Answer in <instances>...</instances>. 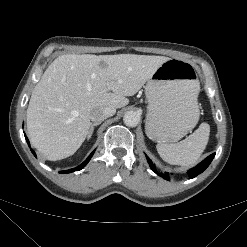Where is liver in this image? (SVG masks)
I'll return each mask as SVG.
<instances>
[{"label": "liver", "instance_id": "liver-1", "mask_svg": "<svg viewBox=\"0 0 247 247\" xmlns=\"http://www.w3.org/2000/svg\"><path fill=\"white\" fill-rule=\"evenodd\" d=\"M170 58L135 54H66L56 58L35 86L27 109L32 145L47 160L73 155L91 127L96 108H122Z\"/></svg>", "mask_w": 247, "mask_h": 247}]
</instances>
